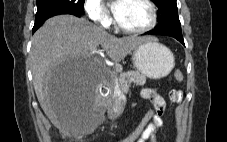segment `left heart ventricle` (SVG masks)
I'll return each mask as SVG.
<instances>
[{
    "instance_id": "obj_1",
    "label": "left heart ventricle",
    "mask_w": 227,
    "mask_h": 142,
    "mask_svg": "<svg viewBox=\"0 0 227 142\" xmlns=\"http://www.w3.org/2000/svg\"><path fill=\"white\" fill-rule=\"evenodd\" d=\"M115 16L125 27L140 28L149 21V9L143 0H121Z\"/></svg>"
}]
</instances>
